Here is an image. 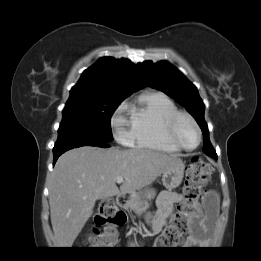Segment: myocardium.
Here are the masks:
<instances>
[{
  "label": "myocardium",
  "instance_id": "f54148a6",
  "mask_svg": "<svg viewBox=\"0 0 261 261\" xmlns=\"http://www.w3.org/2000/svg\"><path fill=\"white\" fill-rule=\"evenodd\" d=\"M182 120H188L194 126V128L197 131L198 142L194 147H191V148L186 147L185 145L182 144V142L180 141V139L178 137V127H179ZM166 130H167L168 138L171 141V143L180 150H184V151H188V152L194 151L201 144V141H202L201 128L198 125L197 121L194 119V117L187 112H180L179 111V112L175 113L168 120Z\"/></svg>",
  "mask_w": 261,
  "mask_h": 261
}]
</instances>
